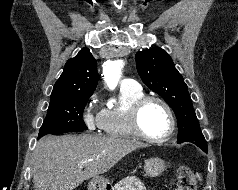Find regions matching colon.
<instances>
[{
  "instance_id": "colon-1",
  "label": "colon",
  "mask_w": 238,
  "mask_h": 190,
  "mask_svg": "<svg viewBox=\"0 0 238 190\" xmlns=\"http://www.w3.org/2000/svg\"><path fill=\"white\" fill-rule=\"evenodd\" d=\"M174 190H196V176L190 167L182 165L178 168Z\"/></svg>"
}]
</instances>
